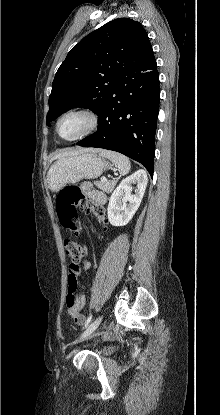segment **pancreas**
Segmentation results:
<instances>
[{"instance_id":"cf45deb5","label":"pancreas","mask_w":220,"mask_h":415,"mask_svg":"<svg viewBox=\"0 0 220 415\" xmlns=\"http://www.w3.org/2000/svg\"><path fill=\"white\" fill-rule=\"evenodd\" d=\"M117 183V180H109V181H96L95 185L106 193H111Z\"/></svg>"}]
</instances>
